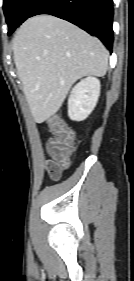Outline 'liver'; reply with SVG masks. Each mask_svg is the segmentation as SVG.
<instances>
[{
	"label": "liver",
	"instance_id": "obj_1",
	"mask_svg": "<svg viewBox=\"0 0 134 281\" xmlns=\"http://www.w3.org/2000/svg\"><path fill=\"white\" fill-rule=\"evenodd\" d=\"M12 48L17 73L37 123L60 109L78 79L102 77L108 69V51L99 39L51 15L26 20Z\"/></svg>",
	"mask_w": 134,
	"mask_h": 281
}]
</instances>
